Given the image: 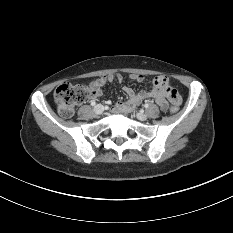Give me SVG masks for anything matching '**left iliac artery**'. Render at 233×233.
I'll list each match as a JSON object with an SVG mask.
<instances>
[{"label": "left iliac artery", "mask_w": 233, "mask_h": 233, "mask_svg": "<svg viewBox=\"0 0 233 233\" xmlns=\"http://www.w3.org/2000/svg\"><path fill=\"white\" fill-rule=\"evenodd\" d=\"M148 106H149V105H148L147 103H146V104H144V107H145V108H148Z\"/></svg>", "instance_id": "obj_1"}]
</instances>
